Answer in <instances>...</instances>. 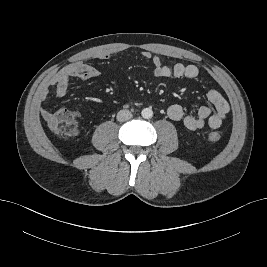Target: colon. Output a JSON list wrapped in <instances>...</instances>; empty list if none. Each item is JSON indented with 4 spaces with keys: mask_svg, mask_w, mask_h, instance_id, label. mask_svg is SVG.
Wrapping results in <instances>:
<instances>
[{
    "mask_svg": "<svg viewBox=\"0 0 267 267\" xmlns=\"http://www.w3.org/2000/svg\"><path fill=\"white\" fill-rule=\"evenodd\" d=\"M47 124L55 134L66 137L77 131L79 127V116L69 109H58L51 113L47 119ZM208 137L212 142H217L221 138L220 134L215 131L210 132Z\"/></svg>",
    "mask_w": 267,
    "mask_h": 267,
    "instance_id": "colon-1",
    "label": "colon"
}]
</instances>
